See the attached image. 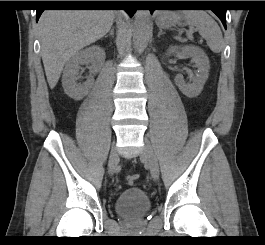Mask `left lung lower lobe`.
I'll return each instance as SVG.
<instances>
[{"instance_id":"1","label":"left lung lower lobe","mask_w":265,"mask_h":245,"mask_svg":"<svg viewBox=\"0 0 265 245\" xmlns=\"http://www.w3.org/2000/svg\"><path fill=\"white\" fill-rule=\"evenodd\" d=\"M198 1H168L164 2V5L184 7V6H194L197 5ZM153 10H151L152 12ZM222 21L224 27L226 28V9H214L212 10Z\"/></svg>"}]
</instances>
